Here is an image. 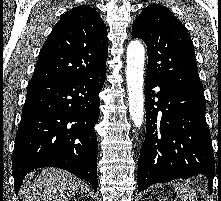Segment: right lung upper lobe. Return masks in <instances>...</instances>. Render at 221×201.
Masks as SVG:
<instances>
[{"label":"right lung upper lobe","instance_id":"obj_1","mask_svg":"<svg viewBox=\"0 0 221 201\" xmlns=\"http://www.w3.org/2000/svg\"><path fill=\"white\" fill-rule=\"evenodd\" d=\"M107 29L91 7L66 12L40 50L30 81H60L105 71Z\"/></svg>","mask_w":221,"mask_h":201}]
</instances>
